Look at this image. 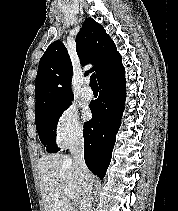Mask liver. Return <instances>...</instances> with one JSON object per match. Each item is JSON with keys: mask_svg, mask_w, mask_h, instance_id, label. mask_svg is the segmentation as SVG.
Returning a JSON list of instances; mask_svg holds the SVG:
<instances>
[{"mask_svg": "<svg viewBox=\"0 0 178 211\" xmlns=\"http://www.w3.org/2000/svg\"><path fill=\"white\" fill-rule=\"evenodd\" d=\"M38 171L44 211H75L65 193V189L72 192L77 204H81L83 180L73 158L62 154L45 155L38 161Z\"/></svg>", "mask_w": 178, "mask_h": 211, "instance_id": "liver-1", "label": "liver"}]
</instances>
